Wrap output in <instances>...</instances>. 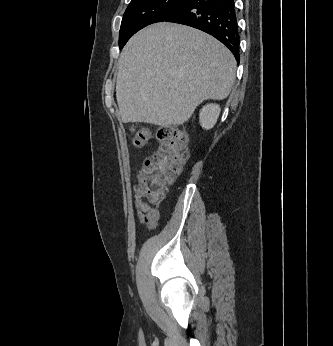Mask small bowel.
<instances>
[{"mask_svg":"<svg viewBox=\"0 0 333 346\" xmlns=\"http://www.w3.org/2000/svg\"><path fill=\"white\" fill-rule=\"evenodd\" d=\"M135 191L134 205L138 220L140 223L144 224L147 229H154L160 220V212L156 207L146 203L142 199L138 187L135 188Z\"/></svg>","mask_w":333,"mask_h":346,"instance_id":"obj_1","label":"small bowel"}]
</instances>
